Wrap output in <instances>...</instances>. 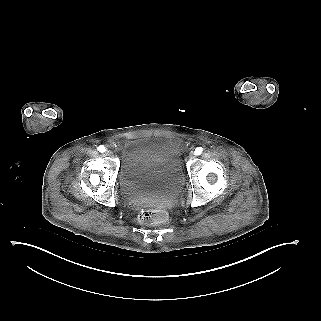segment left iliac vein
<instances>
[{
	"label": "left iliac vein",
	"instance_id": "4c4485c4",
	"mask_svg": "<svg viewBox=\"0 0 321 321\" xmlns=\"http://www.w3.org/2000/svg\"><path fill=\"white\" fill-rule=\"evenodd\" d=\"M190 159H194L196 157V154L194 152H191L189 154Z\"/></svg>",
	"mask_w": 321,
	"mask_h": 321
}]
</instances>
